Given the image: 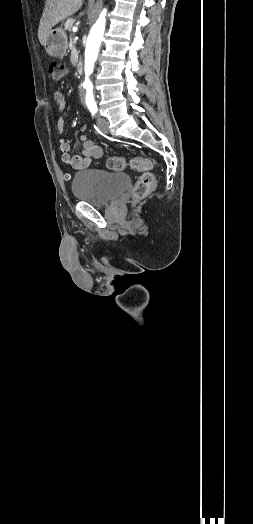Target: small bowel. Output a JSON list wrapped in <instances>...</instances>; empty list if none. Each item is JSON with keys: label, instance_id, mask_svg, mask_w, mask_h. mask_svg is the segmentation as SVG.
<instances>
[{"label": "small bowel", "instance_id": "c3829d8e", "mask_svg": "<svg viewBox=\"0 0 253 524\" xmlns=\"http://www.w3.org/2000/svg\"><path fill=\"white\" fill-rule=\"evenodd\" d=\"M55 100L58 105V110L62 111L67 105L65 96L57 91L55 92ZM65 123L64 119L60 117L57 121V131L60 135L64 133ZM79 140L82 143V151L79 155L71 156L70 143L64 138H59V146L61 151V159L64 163L70 165L74 170H83L86 169L93 159L100 158L103 154V150L99 145H96L92 142L87 135H80Z\"/></svg>", "mask_w": 253, "mask_h": 524}]
</instances>
